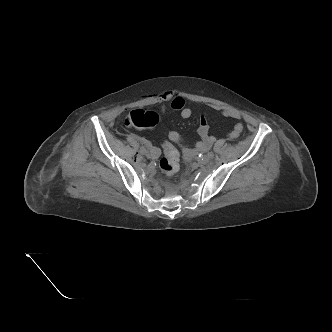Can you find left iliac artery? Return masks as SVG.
Wrapping results in <instances>:
<instances>
[{
	"label": "left iliac artery",
	"mask_w": 332,
	"mask_h": 332,
	"mask_svg": "<svg viewBox=\"0 0 332 332\" xmlns=\"http://www.w3.org/2000/svg\"><path fill=\"white\" fill-rule=\"evenodd\" d=\"M207 155H208V157H210V158H213V157H214V153H213V152H209Z\"/></svg>",
	"instance_id": "1"
}]
</instances>
